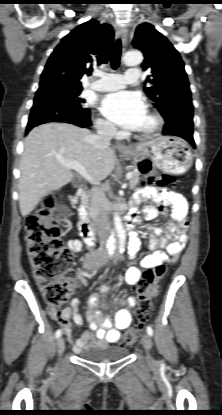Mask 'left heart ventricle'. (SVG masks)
I'll use <instances>...</instances> for the list:
<instances>
[{
    "label": "left heart ventricle",
    "instance_id": "left-heart-ventricle-1",
    "mask_svg": "<svg viewBox=\"0 0 222 415\" xmlns=\"http://www.w3.org/2000/svg\"><path fill=\"white\" fill-rule=\"evenodd\" d=\"M153 124L152 119L148 116L147 113L141 119L139 125L134 129L135 131H143L149 129Z\"/></svg>",
    "mask_w": 222,
    "mask_h": 415
}]
</instances>
